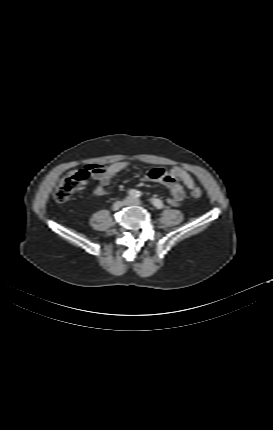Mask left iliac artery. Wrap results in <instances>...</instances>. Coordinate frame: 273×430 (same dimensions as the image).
Returning a JSON list of instances; mask_svg holds the SVG:
<instances>
[{"instance_id": "1", "label": "left iliac artery", "mask_w": 273, "mask_h": 430, "mask_svg": "<svg viewBox=\"0 0 273 430\" xmlns=\"http://www.w3.org/2000/svg\"><path fill=\"white\" fill-rule=\"evenodd\" d=\"M152 204L157 208V209H161L163 208V203L160 199H153L152 200Z\"/></svg>"}]
</instances>
